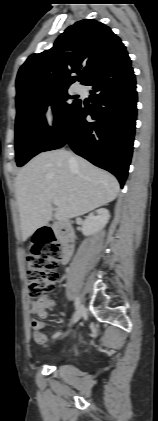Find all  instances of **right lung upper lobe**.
<instances>
[{
    "label": "right lung upper lobe",
    "instance_id": "cb5924a9",
    "mask_svg": "<svg viewBox=\"0 0 158 421\" xmlns=\"http://www.w3.org/2000/svg\"><path fill=\"white\" fill-rule=\"evenodd\" d=\"M124 52L125 46L108 26L93 19L78 21L57 38L51 49L30 55L21 66L16 79V104L67 89L76 80L85 85Z\"/></svg>",
    "mask_w": 158,
    "mask_h": 421
}]
</instances>
